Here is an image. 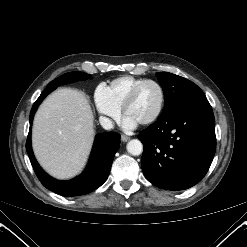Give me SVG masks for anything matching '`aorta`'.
I'll use <instances>...</instances> for the list:
<instances>
[{
  "mask_svg": "<svg viewBox=\"0 0 247 247\" xmlns=\"http://www.w3.org/2000/svg\"><path fill=\"white\" fill-rule=\"evenodd\" d=\"M127 151L133 156H138L143 151V145L139 140L132 139L127 144Z\"/></svg>",
  "mask_w": 247,
  "mask_h": 247,
  "instance_id": "aorta-1",
  "label": "aorta"
}]
</instances>
